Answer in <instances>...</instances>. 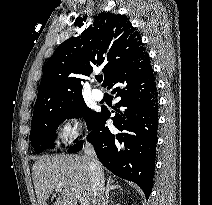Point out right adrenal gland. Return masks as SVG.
<instances>
[{"label":"right adrenal gland","instance_id":"2a0ac1e0","mask_svg":"<svg viewBox=\"0 0 212 205\" xmlns=\"http://www.w3.org/2000/svg\"><path fill=\"white\" fill-rule=\"evenodd\" d=\"M114 181L109 179L108 182H107V187H106V192H105V202H104V205H108V202H109V192L112 191V190H115V189H119L121 190V186L118 185V184H114L113 183Z\"/></svg>","mask_w":212,"mask_h":205}]
</instances>
